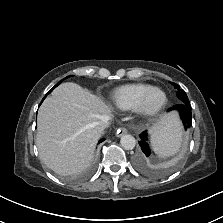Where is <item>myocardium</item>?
Wrapping results in <instances>:
<instances>
[{
	"mask_svg": "<svg viewBox=\"0 0 223 223\" xmlns=\"http://www.w3.org/2000/svg\"><path fill=\"white\" fill-rule=\"evenodd\" d=\"M156 91H159V92L162 93L163 101L155 109H149L148 106H147L148 99L151 96V94H153ZM167 102H168V97H167L166 92L162 88H160V87H152L148 91H146L143 94V96L140 98L138 104L135 107V112L140 117L151 118V117H154V116L158 115L164 109V107L166 106Z\"/></svg>",
	"mask_w": 223,
	"mask_h": 223,
	"instance_id": "f54148a6",
	"label": "myocardium"
}]
</instances>
